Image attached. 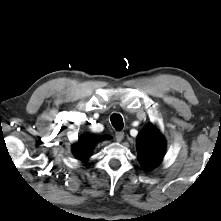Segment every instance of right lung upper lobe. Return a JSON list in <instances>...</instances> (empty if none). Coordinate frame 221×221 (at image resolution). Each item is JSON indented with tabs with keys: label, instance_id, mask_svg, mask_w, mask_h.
Listing matches in <instances>:
<instances>
[{
	"label": "right lung upper lobe",
	"instance_id": "cb5924a9",
	"mask_svg": "<svg viewBox=\"0 0 221 221\" xmlns=\"http://www.w3.org/2000/svg\"><path fill=\"white\" fill-rule=\"evenodd\" d=\"M108 136L105 137H96L92 135H85L81 139H79L78 143L74 145L73 152L75 156L81 160H86L90 154L93 146L97 141L101 139H107Z\"/></svg>",
	"mask_w": 221,
	"mask_h": 221
}]
</instances>
